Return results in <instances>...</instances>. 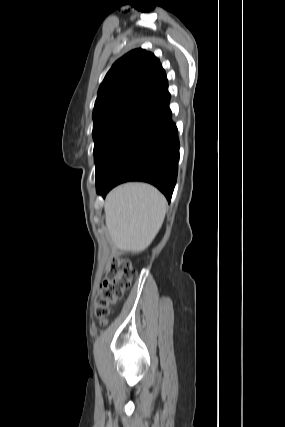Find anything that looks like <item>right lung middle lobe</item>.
<instances>
[{
    "label": "right lung middle lobe",
    "mask_w": 285,
    "mask_h": 427,
    "mask_svg": "<svg viewBox=\"0 0 285 427\" xmlns=\"http://www.w3.org/2000/svg\"><path fill=\"white\" fill-rule=\"evenodd\" d=\"M143 114L144 112L140 111H122L94 121L96 176L104 170L124 138Z\"/></svg>",
    "instance_id": "dd1d6c3e"
}]
</instances>
